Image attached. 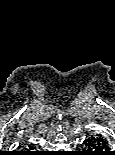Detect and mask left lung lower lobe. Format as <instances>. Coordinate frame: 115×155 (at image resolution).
<instances>
[{
    "instance_id": "obj_1",
    "label": "left lung lower lobe",
    "mask_w": 115,
    "mask_h": 155,
    "mask_svg": "<svg viewBox=\"0 0 115 155\" xmlns=\"http://www.w3.org/2000/svg\"><path fill=\"white\" fill-rule=\"evenodd\" d=\"M85 151L82 155H115L110 144L102 134L91 135L85 141Z\"/></svg>"
}]
</instances>
